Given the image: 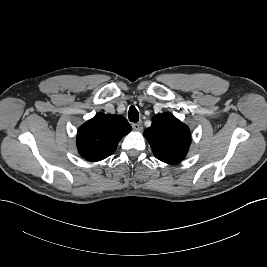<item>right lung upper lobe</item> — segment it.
<instances>
[{
  "label": "right lung upper lobe",
  "instance_id": "right-lung-upper-lobe-1",
  "mask_svg": "<svg viewBox=\"0 0 267 267\" xmlns=\"http://www.w3.org/2000/svg\"><path fill=\"white\" fill-rule=\"evenodd\" d=\"M130 131L125 117L98 113L78 129V151L88 161L103 160L115 152L121 138Z\"/></svg>",
  "mask_w": 267,
  "mask_h": 267
}]
</instances>
